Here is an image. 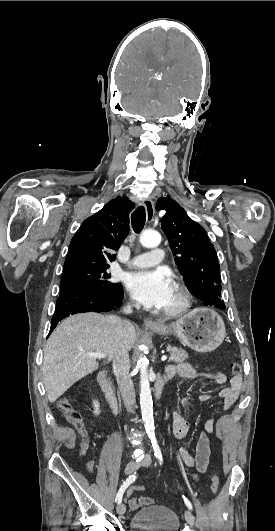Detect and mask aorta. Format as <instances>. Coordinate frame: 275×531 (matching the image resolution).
Instances as JSON below:
<instances>
[{"instance_id":"1","label":"aorta","mask_w":275,"mask_h":531,"mask_svg":"<svg viewBox=\"0 0 275 531\" xmlns=\"http://www.w3.org/2000/svg\"><path fill=\"white\" fill-rule=\"evenodd\" d=\"M142 247L146 249H153V247H158L161 241V235L157 231H143L139 239ZM138 369L140 371V405H141V415L144 421V427L147 435L153 437L154 435V417H153V401L150 391V383L148 379V361L146 357L140 355L139 361L137 363Z\"/></svg>"}]
</instances>
